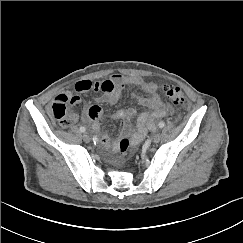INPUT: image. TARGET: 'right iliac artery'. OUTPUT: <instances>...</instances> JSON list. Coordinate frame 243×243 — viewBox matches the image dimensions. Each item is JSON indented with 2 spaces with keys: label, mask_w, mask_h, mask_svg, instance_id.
Instances as JSON below:
<instances>
[{
  "label": "right iliac artery",
  "mask_w": 243,
  "mask_h": 243,
  "mask_svg": "<svg viewBox=\"0 0 243 243\" xmlns=\"http://www.w3.org/2000/svg\"><path fill=\"white\" fill-rule=\"evenodd\" d=\"M80 131L83 133L86 131L85 127H80Z\"/></svg>",
  "instance_id": "obj_1"
}]
</instances>
